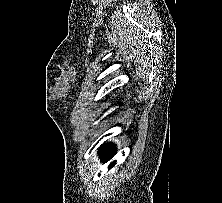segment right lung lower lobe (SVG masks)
<instances>
[{
  "label": "right lung lower lobe",
  "instance_id": "98d812e1",
  "mask_svg": "<svg viewBox=\"0 0 222 203\" xmlns=\"http://www.w3.org/2000/svg\"><path fill=\"white\" fill-rule=\"evenodd\" d=\"M116 152V148L112 143H108L103 145L99 150V155L101 157V160L103 162H107L109 159L113 157V155ZM114 165V163L111 164V167Z\"/></svg>",
  "mask_w": 222,
  "mask_h": 203
}]
</instances>
